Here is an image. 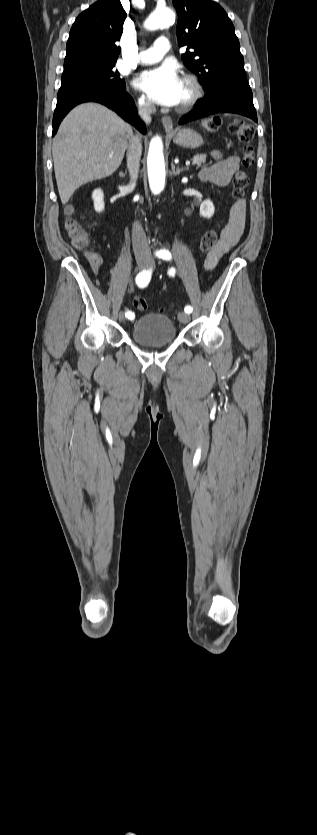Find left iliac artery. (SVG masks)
<instances>
[{"label":"left iliac artery","mask_w":317,"mask_h":835,"mask_svg":"<svg viewBox=\"0 0 317 835\" xmlns=\"http://www.w3.org/2000/svg\"><path fill=\"white\" fill-rule=\"evenodd\" d=\"M157 255L159 256V258H161V259H163V260H171V258H172L171 253H170V252H169V250H167V249H162V250H160V251L157 253ZM174 274H175V269H174V268H171V269L169 270V275H170V276H174ZM192 310H193V308H192L190 305H187V306L184 308V311H185L186 313H188V314H189V313H191V312H192Z\"/></svg>","instance_id":"left-iliac-artery-1"}]
</instances>
